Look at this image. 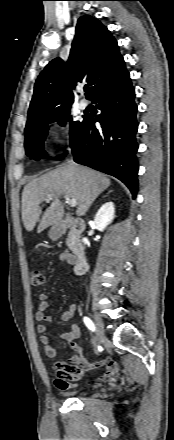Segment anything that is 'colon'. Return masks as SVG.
<instances>
[{
  "instance_id": "5ec220e1",
  "label": "colon",
  "mask_w": 174,
  "mask_h": 440,
  "mask_svg": "<svg viewBox=\"0 0 174 440\" xmlns=\"http://www.w3.org/2000/svg\"><path fill=\"white\" fill-rule=\"evenodd\" d=\"M45 281V274L39 269H34L30 274V282L34 287L41 286Z\"/></svg>"
}]
</instances>
